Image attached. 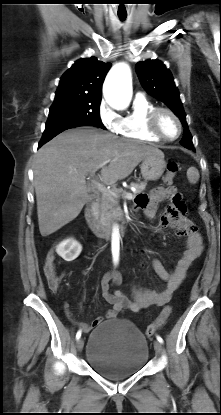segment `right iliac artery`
I'll list each match as a JSON object with an SVG mask.
<instances>
[{"mask_svg":"<svg viewBox=\"0 0 221 415\" xmlns=\"http://www.w3.org/2000/svg\"><path fill=\"white\" fill-rule=\"evenodd\" d=\"M81 337V330H79L76 334V339L78 340Z\"/></svg>","mask_w":221,"mask_h":415,"instance_id":"right-iliac-artery-1","label":"right iliac artery"}]
</instances>
